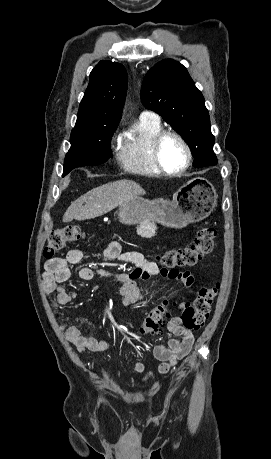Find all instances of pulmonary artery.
I'll use <instances>...</instances> for the list:
<instances>
[{
	"mask_svg": "<svg viewBox=\"0 0 271 459\" xmlns=\"http://www.w3.org/2000/svg\"><path fill=\"white\" fill-rule=\"evenodd\" d=\"M141 117L150 118V119H153V120L159 119L158 115H156L155 113H152V112H147V111L142 112L141 113Z\"/></svg>",
	"mask_w": 271,
	"mask_h": 459,
	"instance_id": "e3ab8cb5",
	"label": "pulmonary artery"
}]
</instances>
